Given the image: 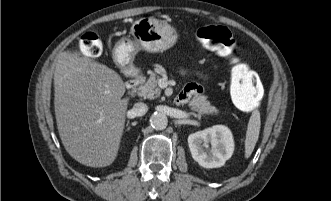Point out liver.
Wrapping results in <instances>:
<instances>
[{"instance_id":"6515ba94","label":"liver","mask_w":331,"mask_h":201,"mask_svg":"<svg viewBox=\"0 0 331 201\" xmlns=\"http://www.w3.org/2000/svg\"><path fill=\"white\" fill-rule=\"evenodd\" d=\"M54 107L62 144L69 155L89 167L111 165L124 131L128 98L113 69L62 52L54 72Z\"/></svg>"}]
</instances>
